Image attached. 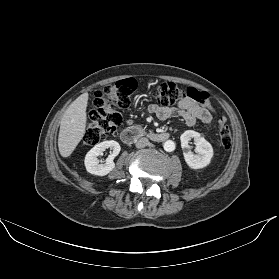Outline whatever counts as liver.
I'll return each instance as SVG.
<instances>
[{"label": "liver", "instance_id": "obj_1", "mask_svg": "<svg viewBox=\"0 0 279 279\" xmlns=\"http://www.w3.org/2000/svg\"><path fill=\"white\" fill-rule=\"evenodd\" d=\"M87 103L88 93L85 92L69 105L60 120L58 149L64 158L73 153L85 134Z\"/></svg>", "mask_w": 279, "mask_h": 279}]
</instances>
